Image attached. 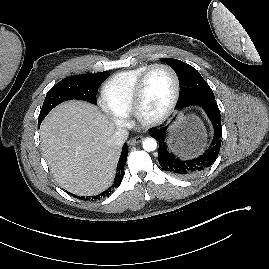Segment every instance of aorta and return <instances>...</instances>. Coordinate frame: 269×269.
I'll return each mask as SVG.
<instances>
[{
  "instance_id": "1",
  "label": "aorta",
  "mask_w": 269,
  "mask_h": 269,
  "mask_svg": "<svg viewBox=\"0 0 269 269\" xmlns=\"http://www.w3.org/2000/svg\"><path fill=\"white\" fill-rule=\"evenodd\" d=\"M142 147L145 151L152 152L156 150L157 142L154 138L148 137V138H145L144 141L142 142Z\"/></svg>"
}]
</instances>
